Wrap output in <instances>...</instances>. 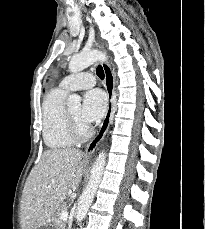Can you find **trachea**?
Returning <instances> with one entry per match:
<instances>
[{
  "label": "trachea",
  "mask_w": 205,
  "mask_h": 229,
  "mask_svg": "<svg viewBox=\"0 0 205 229\" xmlns=\"http://www.w3.org/2000/svg\"><path fill=\"white\" fill-rule=\"evenodd\" d=\"M96 73L100 79H104V70L101 65H99L96 69Z\"/></svg>",
  "instance_id": "trachea-1"
}]
</instances>
